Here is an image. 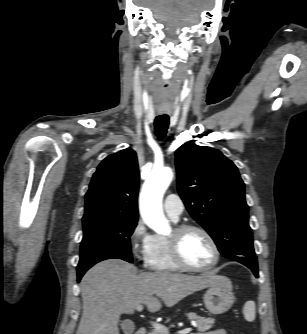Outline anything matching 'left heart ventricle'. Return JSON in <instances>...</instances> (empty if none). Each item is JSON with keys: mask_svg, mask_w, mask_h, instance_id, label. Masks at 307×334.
<instances>
[{"mask_svg": "<svg viewBox=\"0 0 307 334\" xmlns=\"http://www.w3.org/2000/svg\"><path fill=\"white\" fill-rule=\"evenodd\" d=\"M173 233L172 231L169 236H172ZM181 251L186 261L196 267L207 266L214 258V251L210 242L197 231H190L182 237Z\"/></svg>", "mask_w": 307, "mask_h": 334, "instance_id": "left-heart-ventricle-1", "label": "left heart ventricle"}]
</instances>
